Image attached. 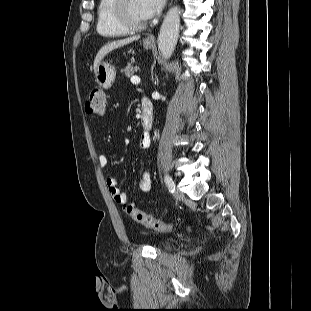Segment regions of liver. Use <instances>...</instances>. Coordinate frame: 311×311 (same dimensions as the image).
<instances>
[{"instance_id":"liver-1","label":"liver","mask_w":311,"mask_h":311,"mask_svg":"<svg viewBox=\"0 0 311 311\" xmlns=\"http://www.w3.org/2000/svg\"><path fill=\"white\" fill-rule=\"evenodd\" d=\"M138 39H140V36H133V37H129V38H125L122 40H118V41H113L111 43H108L107 45H104L99 52L97 53L95 59H94V65H93V69L94 72L97 69V66L99 65V63L101 62V60L112 50L117 49L119 47H122L124 45H127L129 43H132L133 41H137Z\"/></svg>"}]
</instances>
